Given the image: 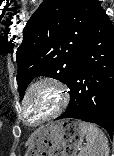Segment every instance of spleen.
Wrapping results in <instances>:
<instances>
[{
  "instance_id": "obj_1",
  "label": "spleen",
  "mask_w": 114,
  "mask_h": 156,
  "mask_svg": "<svg viewBox=\"0 0 114 156\" xmlns=\"http://www.w3.org/2000/svg\"><path fill=\"white\" fill-rule=\"evenodd\" d=\"M80 127L86 135V145L81 156H109L108 139L94 124L80 122Z\"/></svg>"
}]
</instances>
